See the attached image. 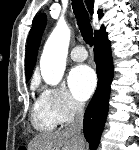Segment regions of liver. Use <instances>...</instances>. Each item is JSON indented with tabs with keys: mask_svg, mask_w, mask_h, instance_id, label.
Wrapping results in <instances>:
<instances>
[{
	"mask_svg": "<svg viewBox=\"0 0 139 150\" xmlns=\"http://www.w3.org/2000/svg\"><path fill=\"white\" fill-rule=\"evenodd\" d=\"M84 150L82 137L76 138L67 129L53 133H43L32 139L28 150Z\"/></svg>",
	"mask_w": 139,
	"mask_h": 150,
	"instance_id": "obj_1",
	"label": "liver"
}]
</instances>
